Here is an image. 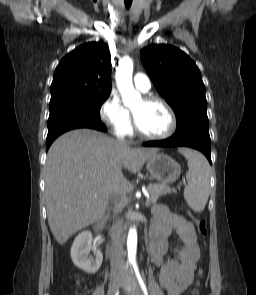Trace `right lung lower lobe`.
I'll use <instances>...</instances> for the list:
<instances>
[{
  "instance_id": "right-lung-lower-lobe-1",
  "label": "right lung lower lobe",
  "mask_w": 256,
  "mask_h": 295,
  "mask_svg": "<svg viewBox=\"0 0 256 295\" xmlns=\"http://www.w3.org/2000/svg\"><path fill=\"white\" fill-rule=\"evenodd\" d=\"M77 128H92L103 132L107 131V128L101 122L100 117L88 119H58L48 123L46 151L59 135L66 131Z\"/></svg>"
}]
</instances>
